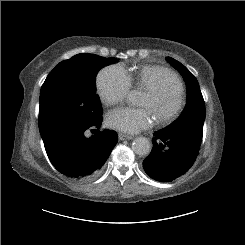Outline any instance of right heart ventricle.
I'll use <instances>...</instances> for the list:
<instances>
[{
    "label": "right heart ventricle",
    "instance_id": "obj_1",
    "mask_svg": "<svg viewBox=\"0 0 245 245\" xmlns=\"http://www.w3.org/2000/svg\"><path fill=\"white\" fill-rule=\"evenodd\" d=\"M168 70L158 65H145L140 67L134 73L128 71L127 75L131 83H136L138 87L147 90L150 87L156 86L161 82L164 72ZM178 88L182 92V82L177 76Z\"/></svg>",
    "mask_w": 245,
    "mask_h": 245
}]
</instances>
